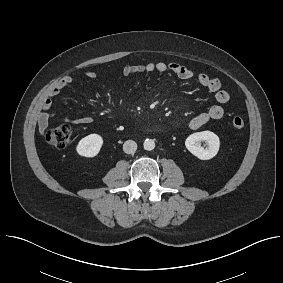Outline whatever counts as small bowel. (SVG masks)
I'll list each match as a JSON object with an SVG mask.
<instances>
[{"instance_id":"obj_1","label":"small bowel","mask_w":283,"mask_h":283,"mask_svg":"<svg viewBox=\"0 0 283 283\" xmlns=\"http://www.w3.org/2000/svg\"><path fill=\"white\" fill-rule=\"evenodd\" d=\"M152 72H171L182 80H191L195 77V74L192 70L176 62H149L146 64L125 65L122 68V74L125 76ZM85 77L88 79H94L96 75L94 72L88 71L85 73ZM196 80L200 86L206 88L210 92L215 93L216 104L190 119L188 126L192 130L199 129L211 120L221 119L224 115L223 106L230 100L228 92L221 88V82L219 79L201 73L196 76ZM72 81L73 78L71 76H65L60 83L54 89H52L49 96L43 101L41 105V111L38 116V127L41 132H44L48 128L50 122L55 118V115L50 113V109L53 104L52 98L57 96L63 89L70 85ZM65 120L76 124H84L91 122L92 117L86 115L73 119L65 118Z\"/></svg>"}]
</instances>
